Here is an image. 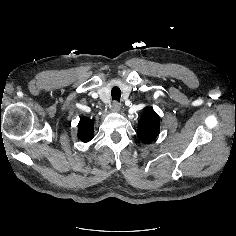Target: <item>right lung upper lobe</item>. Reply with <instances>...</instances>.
<instances>
[{
  "instance_id": "obj_1",
  "label": "right lung upper lobe",
  "mask_w": 236,
  "mask_h": 236,
  "mask_svg": "<svg viewBox=\"0 0 236 236\" xmlns=\"http://www.w3.org/2000/svg\"><path fill=\"white\" fill-rule=\"evenodd\" d=\"M94 121L86 117H82L79 121L78 137L83 142L90 141L94 136Z\"/></svg>"
}]
</instances>
